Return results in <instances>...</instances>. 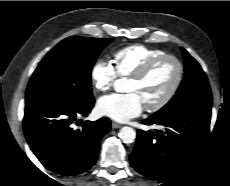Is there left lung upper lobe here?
Returning a JSON list of instances; mask_svg holds the SVG:
<instances>
[{
	"label": "left lung upper lobe",
	"mask_w": 230,
	"mask_h": 186,
	"mask_svg": "<svg viewBox=\"0 0 230 186\" xmlns=\"http://www.w3.org/2000/svg\"><path fill=\"white\" fill-rule=\"evenodd\" d=\"M185 60V77L175 96L155 114H168L193 106H211L207 77L199 63L181 48Z\"/></svg>",
	"instance_id": "5c2ea615"
}]
</instances>
